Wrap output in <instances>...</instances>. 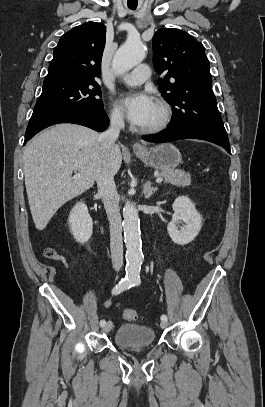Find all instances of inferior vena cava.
<instances>
[{
  "label": "inferior vena cava",
  "mask_w": 265,
  "mask_h": 407,
  "mask_svg": "<svg viewBox=\"0 0 265 407\" xmlns=\"http://www.w3.org/2000/svg\"><path fill=\"white\" fill-rule=\"evenodd\" d=\"M124 121L120 115L113 114L109 128L101 133L98 141L101 144L104 162L97 174L98 194L101 196L110 224V249L113 268L119 271L123 265V242L119 197L114 182V175L107 165L108 153L115 145Z\"/></svg>",
  "instance_id": "obj_1"
}]
</instances>
